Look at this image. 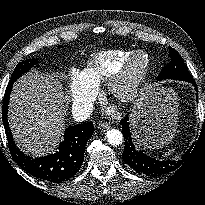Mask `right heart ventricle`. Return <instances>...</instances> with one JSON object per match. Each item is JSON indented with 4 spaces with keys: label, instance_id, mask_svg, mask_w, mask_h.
Returning a JSON list of instances; mask_svg holds the SVG:
<instances>
[{
    "label": "right heart ventricle",
    "instance_id": "1",
    "mask_svg": "<svg viewBox=\"0 0 205 205\" xmlns=\"http://www.w3.org/2000/svg\"><path fill=\"white\" fill-rule=\"evenodd\" d=\"M134 50H105L95 53L80 71L83 81L97 87L109 79Z\"/></svg>",
    "mask_w": 205,
    "mask_h": 205
}]
</instances>
